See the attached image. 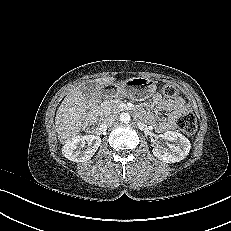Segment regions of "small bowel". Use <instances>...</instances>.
Returning <instances> with one entry per match:
<instances>
[{"label":"small bowel","mask_w":231,"mask_h":231,"mask_svg":"<svg viewBox=\"0 0 231 231\" xmlns=\"http://www.w3.org/2000/svg\"><path fill=\"white\" fill-rule=\"evenodd\" d=\"M151 105L157 111H165L167 113L166 116L156 122L155 114L144 113L143 111L140 113L145 116L147 122L151 124L155 123L156 129L161 132L171 130L175 126L177 118L190 110L182 98L165 99L160 94L154 95Z\"/></svg>","instance_id":"obj_1"}]
</instances>
